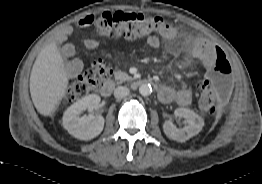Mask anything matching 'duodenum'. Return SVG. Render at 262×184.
<instances>
[{"mask_svg":"<svg viewBox=\"0 0 262 184\" xmlns=\"http://www.w3.org/2000/svg\"><path fill=\"white\" fill-rule=\"evenodd\" d=\"M132 88H139L141 86H152L157 87V84L149 79L135 80L131 83ZM115 88V82L113 80L105 81L101 88L100 93L104 97H109Z\"/></svg>","mask_w":262,"mask_h":184,"instance_id":"410a0bca","label":"duodenum"}]
</instances>
